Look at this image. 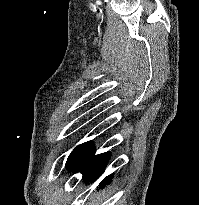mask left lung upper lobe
<instances>
[{"mask_svg": "<svg viewBox=\"0 0 199 205\" xmlns=\"http://www.w3.org/2000/svg\"><path fill=\"white\" fill-rule=\"evenodd\" d=\"M85 143L81 144V145H78L72 152L71 154L69 155L68 159H67V162H66V168L68 170H71L80 151L82 150L83 146H84Z\"/></svg>", "mask_w": 199, "mask_h": 205, "instance_id": "5c2ea615", "label": "left lung upper lobe"}]
</instances>
